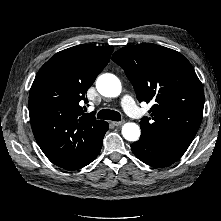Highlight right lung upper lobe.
I'll return each instance as SVG.
<instances>
[{"label":"right lung upper lobe","mask_w":221,"mask_h":221,"mask_svg":"<svg viewBox=\"0 0 221 221\" xmlns=\"http://www.w3.org/2000/svg\"><path fill=\"white\" fill-rule=\"evenodd\" d=\"M113 46L78 45L56 53L37 73L29 94L35 139L55 165L72 169L93 149L104 121L83 112L86 91L109 62Z\"/></svg>","instance_id":"1"}]
</instances>
